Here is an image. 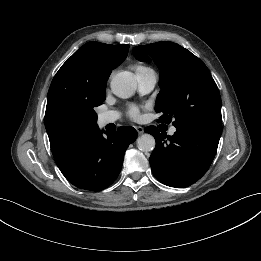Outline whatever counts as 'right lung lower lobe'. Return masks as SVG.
<instances>
[{
  "instance_id": "obj_1",
  "label": "right lung lower lobe",
  "mask_w": 261,
  "mask_h": 261,
  "mask_svg": "<svg viewBox=\"0 0 261 261\" xmlns=\"http://www.w3.org/2000/svg\"><path fill=\"white\" fill-rule=\"evenodd\" d=\"M104 133L105 137L96 128L58 164L66 179L78 188L99 191L111 185L120 173L126 149L137 138L130 126Z\"/></svg>"
}]
</instances>
